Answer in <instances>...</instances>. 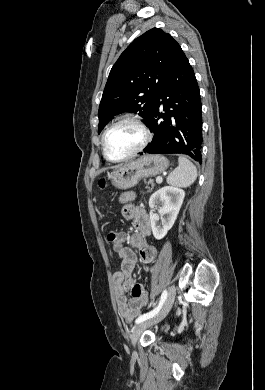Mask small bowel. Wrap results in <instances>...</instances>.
Masks as SVG:
<instances>
[{"mask_svg": "<svg viewBox=\"0 0 265 390\" xmlns=\"http://www.w3.org/2000/svg\"><path fill=\"white\" fill-rule=\"evenodd\" d=\"M132 198L130 193L123 195L122 214L132 221L135 232L129 237L123 232L117 233L118 244L115 249L121 262V269L113 274L118 311L128 322L133 321L141 313L144 306L141 295L146 291L144 286L136 283L132 277L137 258L133 250L125 246V242L128 240L138 250L139 259L145 263H151L157 256L156 248L147 241L151 230L150 218L144 208L131 202ZM127 292H130V298H127Z\"/></svg>", "mask_w": 265, "mask_h": 390, "instance_id": "c3829d8e", "label": "small bowel"}]
</instances>
